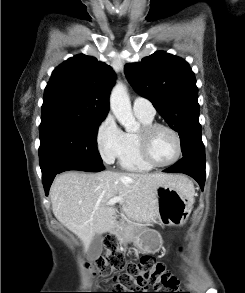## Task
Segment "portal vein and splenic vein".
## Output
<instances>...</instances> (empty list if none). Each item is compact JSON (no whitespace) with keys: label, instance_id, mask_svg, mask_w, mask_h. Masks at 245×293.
Listing matches in <instances>:
<instances>
[{"label":"portal vein and splenic vein","instance_id":"portal-vein-and-splenic-vein-1","mask_svg":"<svg viewBox=\"0 0 245 293\" xmlns=\"http://www.w3.org/2000/svg\"><path fill=\"white\" fill-rule=\"evenodd\" d=\"M116 203H123V199L121 197L112 198L107 202V205L112 206Z\"/></svg>","mask_w":245,"mask_h":293}]
</instances>
